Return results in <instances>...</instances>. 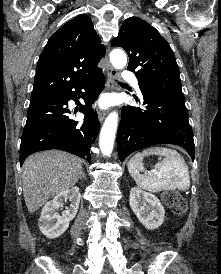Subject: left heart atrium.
I'll use <instances>...</instances> for the list:
<instances>
[{"instance_id":"obj_1","label":"left heart atrium","mask_w":221,"mask_h":274,"mask_svg":"<svg viewBox=\"0 0 221 274\" xmlns=\"http://www.w3.org/2000/svg\"><path fill=\"white\" fill-rule=\"evenodd\" d=\"M102 105H106V102H105V101H103V102H102Z\"/></svg>"}]
</instances>
